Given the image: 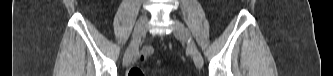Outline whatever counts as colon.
Instances as JSON below:
<instances>
[{"mask_svg": "<svg viewBox=\"0 0 333 76\" xmlns=\"http://www.w3.org/2000/svg\"><path fill=\"white\" fill-rule=\"evenodd\" d=\"M127 76H144V73L139 69L132 68L128 71Z\"/></svg>", "mask_w": 333, "mask_h": 76, "instance_id": "obj_1", "label": "colon"}]
</instances>
